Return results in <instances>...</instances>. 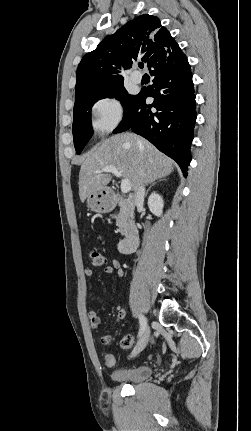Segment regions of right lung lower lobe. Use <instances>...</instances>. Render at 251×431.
Returning a JSON list of instances; mask_svg holds the SVG:
<instances>
[{
  "instance_id": "98d812e1",
  "label": "right lung lower lobe",
  "mask_w": 251,
  "mask_h": 431,
  "mask_svg": "<svg viewBox=\"0 0 251 431\" xmlns=\"http://www.w3.org/2000/svg\"><path fill=\"white\" fill-rule=\"evenodd\" d=\"M153 85L143 88L127 104L114 133L132 129L174 159L187 175L196 120L192 74L179 46L150 67ZM153 97L151 105L145 99Z\"/></svg>"
}]
</instances>
